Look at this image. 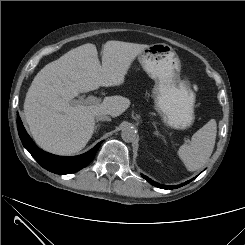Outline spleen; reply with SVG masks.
<instances>
[{
    "instance_id": "3e777b00",
    "label": "spleen",
    "mask_w": 245,
    "mask_h": 245,
    "mask_svg": "<svg viewBox=\"0 0 245 245\" xmlns=\"http://www.w3.org/2000/svg\"><path fill=\"white\" fill-rule=\"evenodd\" d=\"M216 135L217 123L211 119L193 134L189 144L179 148L178 155L188 171L199 170L207 163L215 146Z\"/></svg>"
}]
</instances>
